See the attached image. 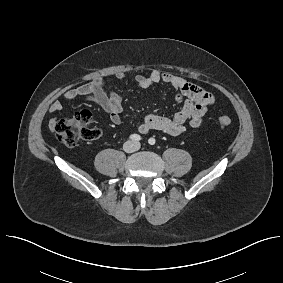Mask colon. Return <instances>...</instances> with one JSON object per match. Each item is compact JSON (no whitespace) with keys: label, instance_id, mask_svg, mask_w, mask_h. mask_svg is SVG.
<instances>
[{"label":"colon","instance_id":"obj_1","mask_svg":"<svg viewBox=\"0 0 283 283\" xmlns=\"http://www.w3.org/2000/svg\"><path fill=\"white\" fill-rule=\"evenodd\" d=\"M93 116L89 111H81L73 116L62 118L54 124L57 139L65 146H75L80 139L94 140L100 136V130L92 125ZM219 125L227 127L232 120L227 115L218 117Z\"/></svg>","mask_w":283,"mask_h":283}]
</instances>
